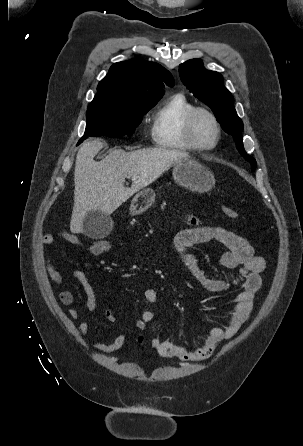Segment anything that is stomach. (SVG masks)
<instances>
[{"mask_svg": "<svg viewBox=\"0 0 303 446\" xmlns=\"http://www.w3.org/2000/svg\"><path fill=\"white\" fill-rule=\"evenodd\" d=\"M173 178L178 185L198 193L208 192L215 184L214 176L209 169L188 158L174 164ZM154 200L155 192L152 188L142 189L133 197L130 213L142 214Z\"/></svg>", "mask_w": 303, "mask_h": 446, "instance_id": "stomach-1", "label": "stomach"}]
</instances>
